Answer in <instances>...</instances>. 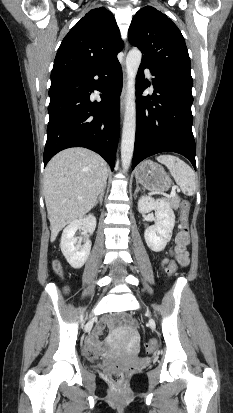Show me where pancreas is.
Here are the masks:
<instances>
[{
	"label": "pancreas",
	"mask_w": 233,
	"mask_h": 413,
	"mask_svg": "<svg viewBox=\"0 0 233 413\" xmlns=\"http://www.w3.org/2000/svg\"><path fill=\"white\" fill-rule=\"evenodd\" d=\"M180 197L179 196H177V195H175L174 197H172L170 200H169V205H171L172 206V208H174V209H177L178 207H179V205H180Z\"/></svg>",
	"instance_id": "1"
}]
</instances>
